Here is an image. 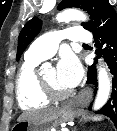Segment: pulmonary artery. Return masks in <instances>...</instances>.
Segmentation results:
<instances>
[{
	"instance_id": "e3ab8cb5",
	"label": "pulmonary artery",
	"mask_w": 117,
	"mask_h": 131,
	"mask_svg": "<svg viewBox=\"0 0 117 131\" xmlns=\"http://www.w3.org/2000/svg\"><path fill=\"white\" fill-rule=\"evenodd\" d=\"M64 39L86 44L91 42L92 36L87 30L80 26L49 32L40 36L32 43L25 57L28 59H48L55 54L59 43Z\"/></svg>"
}]
</instances>
